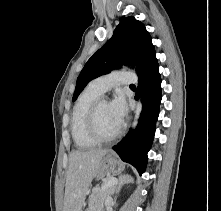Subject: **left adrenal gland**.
<instances>
[{
	"label": "left adrenal gland",
	"instance_id": "a2214340",
	"mask_svg": "<svg viewBox=\"0 0 221 211\" xmlns=\"http://www.w3.org/2000/svg\"><path fill=\"white\" fill-rule=\"evenodd\" d=\"M130 182H132V179H131L130 176H128V175H121V176H119L118 184H117V186L114 189L115 193H119L121 188H122V186H124L125 184H128Z\"/></svg>",
	"mask_w": 221,
	"mask_h": 211
}]
</instances>
